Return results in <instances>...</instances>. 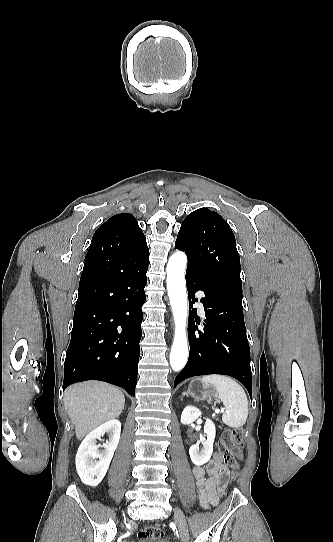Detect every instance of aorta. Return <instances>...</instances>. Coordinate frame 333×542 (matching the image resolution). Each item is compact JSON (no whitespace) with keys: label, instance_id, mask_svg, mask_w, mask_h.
<instances>
[{"label":"aorta","instance_id":"1","mask_svg":"<svg viewBox=\"0 0 333 542\" xmlns=\"http://www.w3.org/2000/svg\"><path fill=\"white\" fill-rule=\"evenodd\" d=\"M187 256L175 252L167 264V290L174 318V340L170 352V366L173 372H180L188 360L187 318L188 304L185 288Z\"/></svg>","mask_w":333,"mask_h":542}]
</instances>
